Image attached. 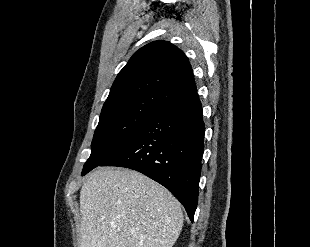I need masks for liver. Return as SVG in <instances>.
<instances>
[{
	"mask_svg": "<svg viewBox=\"0 0 310 247\" xmlns=\"http://www.w3.org/2000/svg\"><path fill=\"white\" fill-rule=\"evenodd\" d=\"M80 247H172L183 226L180 202L129 169L100 168L80 191Z\"/></svg>",
	"mask_w": 310,
	"mask_h": 247,
	"instance_id": "obj_1",
	"label": "liver"
}]
</instances>
